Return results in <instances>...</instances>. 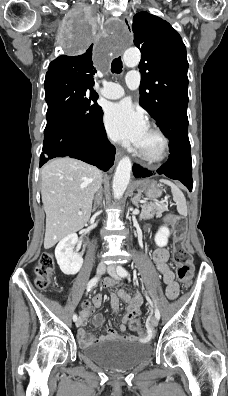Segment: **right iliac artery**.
<instances>
[{
	"label": "right iliac artery",
	"instance_id": "1",
	"mask_svg": "<svg viewBox=\"0 0 228 396\" xmlns=\"http://www.w3.org/2000/svg\"><path fill=\"white\" fill-rule=\"evenodd\" d=\"M98 280H99V277L92 278L87 284V290L90 291L97 284ZM76 320H77V315L74 314L73 321H76Z\"/></svg>",
	"mask_w": 228,
	"mask_h": 396
}]
</instances>
